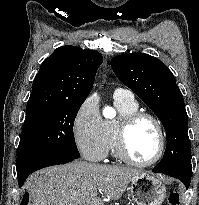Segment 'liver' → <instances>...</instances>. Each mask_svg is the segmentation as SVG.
I'll use <instances>...</instances> for the list:
<instances>
[{"label": "liver", "instance_id": "liver-1", "mask_svg": "<svg viewBox=\"0 0 199 205\" xmlns=\"http://www.w3.org/2000/svg\"><path fill=\"white\" fill-rule=\"evenodd\" d=\"M140 173L134 168L74 161L37 171L26 186L30 205H101L102 200L92 196L94 192L118 200Z\"/></svg>", "mask_w": 199, "mask_h": 205}]
</instances>
